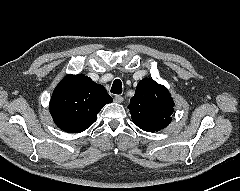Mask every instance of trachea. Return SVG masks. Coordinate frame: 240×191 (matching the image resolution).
<instances>
[{"label": "trachea", "instance_id": "1", "mask_svg": "<svg viewBox=\"0 0 240 191\" xmlns=\"http://www.w3.org/2000/svg\"><path fill=\"white\" fill-rule=\"evenodd\" d=\"M111 93L113 94H121L122 93V82L119 79H116L111 87Z\"/></svg>", "mask_w": 240, "mask_h": 191}]
</instances>
